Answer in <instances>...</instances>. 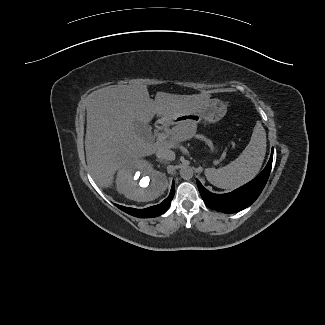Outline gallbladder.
Here are the masks:
<instances>
[{"label": "gallbladder", "mask_w": 325, "mask_h": 325, "mask_svg": "<svg viewBox=\"0 0 325 325\" xmlns=\"http://www.w3.org/2000/svg\"><path fill=\"white\" fill-rule=\"evenodd\" d=\"M134 129L144 139H148L151 136V127L148 124L135 121Z\"/></svg>", "instance_id": "bac80fb5"}]
</instances>
